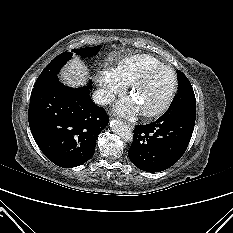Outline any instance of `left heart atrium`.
Wrapping results in <instances>:
<instances>
[{"label":"left heart atrium","instance_id":"obj_1","mask_svg":"<svg viewBox=\"0 0 233 233\" xmlns=\"http://www.w3.org/2000/svg\"><path fill=\"white\" fill-rule=\"evenodd\" d=\"M116 109L120 114L130 116L138 110V107L133 99H127L120 102Z\"/></svg>","mask_w":233,"mask_h":233}]
</instances>
